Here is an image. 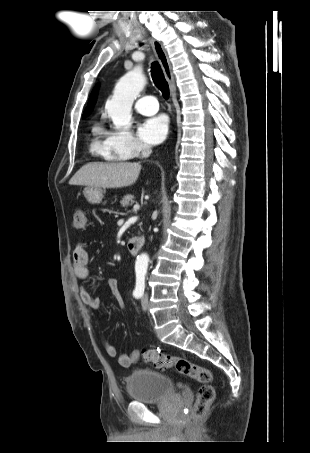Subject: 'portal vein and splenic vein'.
Instances as JSON below:
<instances>
[{
    "instance_id": "18ae733b",
    "label": "portal vein and splenic vein",
    "mask_w": 310,
    "mask_h": 453,
    "mask_svg": "<svg viewBox=\"0 0 310 453\" xmlns=\"http://www.w3.org/2000/svg\"><path fill=\"white\" fill-rule=\"evenodd\" d=\"M139 208H140V206L138 204H135L134 207H133V210L137 211V210H139Z\"/></svg>"
}]
</instances>
